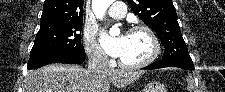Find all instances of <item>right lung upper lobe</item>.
I'll list each match as a JSON object with an SVG mask.
<instances>
[{
    "label": "right lung upper lobe",
    "mask_w": 225,
    "mask_h": 92,
    "mask_svg": "<svg viewBox=\"0 0 225 92\" xmlns=\"http://www.w3.org/2000/svg\"><path fill=\"white\" fill-rule=\"evenodd\" d=\"M84 0H45L41 24L83 22Z\"/></svg>",
    "instance_id": "cb5924a9"
}]
</instances>
